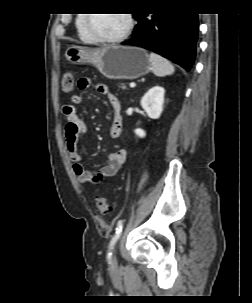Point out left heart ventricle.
<instances>
[{
    "label": "left heart ventricle",
    "instance_id": "b2bd125f",
    "mask_svg": "<svg viewBox=\"0 0 252 303\" xmlns=\"http://www.w3.org/2000/svg\"><path fill=\"white\" fill-rule=\"evenodd\" d=\"M127 25L125 14H93L89 28L101 36L120 34Z\"/></svg>",
    "mask_w": 252,
    "mask_h": 303
}]
</instances>
